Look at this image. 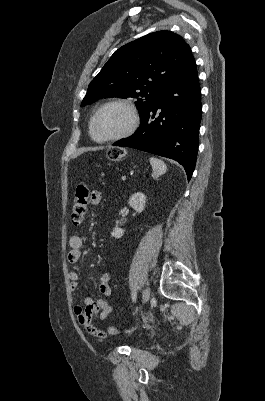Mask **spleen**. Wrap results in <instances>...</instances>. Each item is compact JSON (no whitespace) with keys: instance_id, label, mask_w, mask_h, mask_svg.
Listing matches in <instances>:
<instances>
[{"instance_id":"1","label":"spleen","mask_w":265,"mask_h":401,"mask_svg":"<svg viewBox=\"0 0 265 401\" xmlns=\"http://www.w3.org/2000/svg\"><path fill=\"white\" fill-rule=\"evenodd\" d=\"M150 164L153 168L152 170V176L153 178H158V176H161V174H165L167 170V166L163 160H160V158H154V156H151L150 158Z\"/></svg>"}]
</instances>
